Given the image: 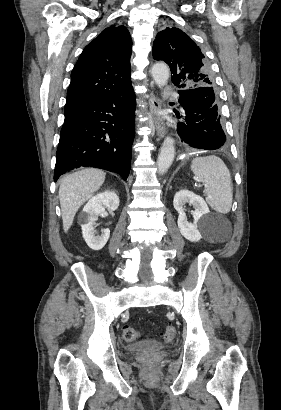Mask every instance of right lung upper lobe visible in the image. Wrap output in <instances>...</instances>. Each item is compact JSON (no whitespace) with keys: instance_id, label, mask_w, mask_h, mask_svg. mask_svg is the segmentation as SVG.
<instances>
[{"instance_id":"right-lung-upper-lobe-1","label":"right lung upper lobe","mask_w":281,"mask_h":410,"mask_svg":"<svg viewBox=\"0 0 281 410\" xmlns=\"http://www.w3.org/2000/svg\"><path fill=\"white\" fill-rule=\"evenodd\" d=\"M131 49L125 26L103 30L84 48L72 70L65 110H77L131 86Z\"/></svg>"}]
</instances>
